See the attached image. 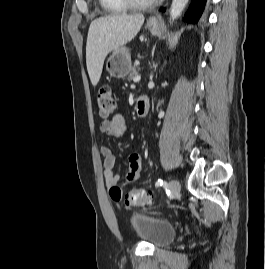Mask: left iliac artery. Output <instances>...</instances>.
<instances>
[{"label": "left iliac artery", "mask_w": 265, "mask_h": 269, "mask_svg": "<svg viewBox=\"0 0 265 269\" xmlns=\"http://www.w3.org/2000/svg\"><path fill=\"white\" fill-rule=\"evenodd\" d=\"M156 187H159V186H165L166 185V182L165 181H163V180H161V179H159L157 182H156Z\"/></svg>", "instance_id": "obj_1"}]
</instances>
